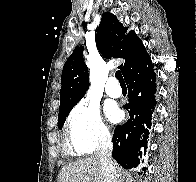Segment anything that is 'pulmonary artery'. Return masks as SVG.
Masks as SVG:
<instances>
[{
  "label": "pulmonary artery",
  "mask_w": 196,
  "mask_h": 182,
  "mask_svg": "<svg viewBox=\"0 0 196 182\" xmlns=\"http://www.w3.org/2000/svg\"><path fill=\"white\" fill-rule=\"evenodd\" d=\"M105 92L107 93V95L113 98H118L121 96L122 91L116 78L111 77L108 79L105 87Z\"/></svg>",
  "instance_id": "pulmonary-artery-1"
}]
</instances>
